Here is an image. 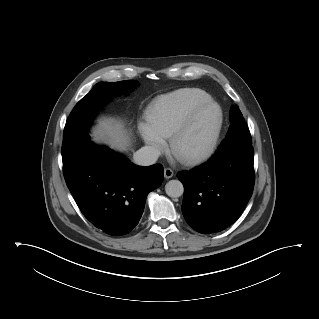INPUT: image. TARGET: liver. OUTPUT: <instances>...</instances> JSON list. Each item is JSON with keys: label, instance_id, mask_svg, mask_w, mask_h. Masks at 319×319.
<instances>
[{"label": "liver", "instance_id": "1", "mask_svg": "<svg viewBox=\"0 0 319 319\" xmlns=\"http://www.w3.org/2000/svg\"><path fill=\"white\" fill-rule=\"evenodd\" d=\"M95 142H104L112 149L126 151L131 145V139L120 120L105 118L99 121L91 134Z\"/></svg>", "mask_w": 319, "mask_h": 319}]
</instances>
